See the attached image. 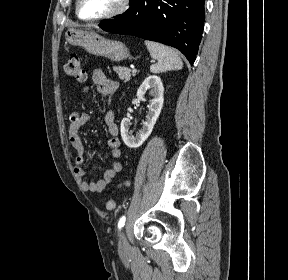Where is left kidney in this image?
I'll list each match as a JSON object with an SVG mask.
<instances>
[{
  "mask_svg": "<svg viewBox=\"0 0 288 280\" xmlns=\"http://www.w3.org/2000/svg\"><path fill=\"white\" fill-rule=\"evenodd\" d=\"M148 90L152 100L148 106L149 111L146 115V120L143 122V127L139 130L136 136H133L132 131L130 130V119L123 118L121 121V137L129 148H137L141 146L150 136L163 107L164 87L161 78L155 75L147 77L137 91L138 100L144 101L145 94Z\"/></svg>",
  "mask_w": 288,
  "mask_h": 280,
  "instance_id": "5707ae66",
  "label": "left kidney"
}]
</instances>
